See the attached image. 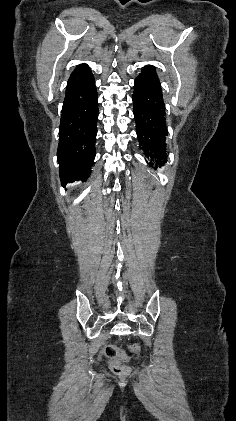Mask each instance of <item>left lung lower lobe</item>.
I'll use <instances>...</instances> for the list:
<instances>
[{
    "label": "left lung lower lobe",
    "instance_id": "obj_1",
    "mask_svg": "<svg viewBox=\"0 0 236 421\" xmlns=\"http://www.w3.org/2000/svg\"><path fill=\"white\" fill-rule=\"evenodd\" d=\"M133 111L139 145L148 165L157 169L166 162L165 104L161 83L154 66H146L135 79Z\"/></svg>",
    "mask_w": 236,
    "mask_h": 421
}]
</instances>
